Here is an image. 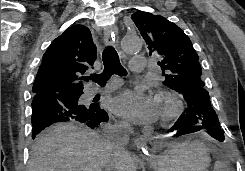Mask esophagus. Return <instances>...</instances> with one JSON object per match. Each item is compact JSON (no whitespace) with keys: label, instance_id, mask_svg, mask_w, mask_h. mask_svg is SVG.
Returning <instances> with one entry per match:
<instances>
[{"label":"esophagus","instance_id":"esophagus-1","mask_svg":"<svg viewBox=\"0 0 245 171\" xmlns=\"http://www.w3.org/2000/svg\"><path fill=\"white\" fill-rule=\"evenodd\" d=\"M103 40L105 45L107 46L113 44V41L115 39H113V36L109 29H104ZM135 145L137 146V149L141 156L145 158H149L151 156L150 152L147 150L146 141L143 138L136 140Z\"/></svg>","mask_w":245,"mask_h":171}]
</instances>
